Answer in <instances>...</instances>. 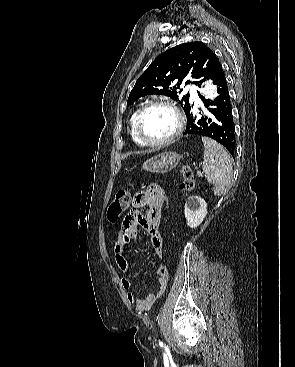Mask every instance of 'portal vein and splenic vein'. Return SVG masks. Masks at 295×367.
<instances>
[{"instance_id":"obj_1","label":"portal vein and splenic vein","mask_w":295,"mask_h":367,"mask_svg":"<svg viewBox=\"0 0 295 367\" xmlns=\"http://www.w3.org/2000/svg\"><path fill=\"white\" fill-rule=\"evenodd\" d=\"M197 176L198 177H204L203 173H201L200 171L197 170Z\"/></svg>"}]
</instances>
